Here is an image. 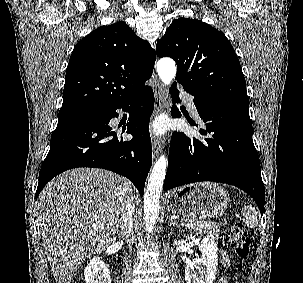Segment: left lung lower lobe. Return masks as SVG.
Segmentation results:
<instances>
[{"mask_svg": "<svg viewBox=\"0 0 303 283\" xmlns=\"http://www.w3.org/2000/svg\"><path fill=\"white\" fill-rule=\"evenodd\" d=\"M178 94L174 83L171 88L174 102L180 101ZM194 104L205 123L199 132L207 137L199 140L184 133L172 134L163 189L200 181L227 183L248 193L263 214L265 189L252 140L249 105L199 96H194ZM172 115L180 117L175 106Z\"/></svg>", "mask_w": 303, "mask_h": 283, "instance_id": "left-lung-lower-lobe-1", "label": "left lung lower lobe"}]
</instances>
